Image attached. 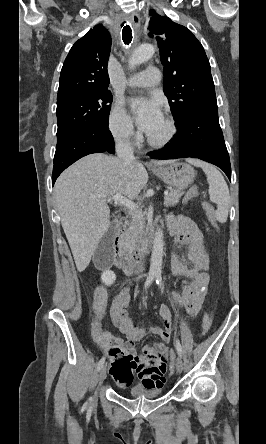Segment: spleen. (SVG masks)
<instances>
[{"label": "spleen", "instance_id": "obj_1", "mask_svg": "<svg viewBox=\"0 0 266 444\" xmlns=\"http://www.w3.org/2000/svg\"><path fill=\"white\" fill-rule=\"evenodd\" d=\"M188 162L196 167L202 168L207 176L209 184L210 200L217 205L215 211L219 222L225 223L230 206V195L227 183L222 174L212 165L198 159H188Z\"/></svg>", "mask_w": 266, "mask_h": 444}]
</instances>
